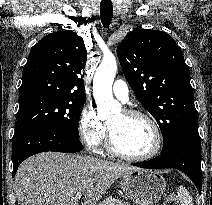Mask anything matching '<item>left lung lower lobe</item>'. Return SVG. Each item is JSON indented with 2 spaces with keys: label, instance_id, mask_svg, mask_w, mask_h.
<instances>
[{
  "label": "left lung lower lobe",
  "instance_id": "left-lung-lower-lobe-1",
  "mask_svg": "<svg viewBox=\"0 0 212 205\" xmlns=\"http://www.w3.org/2000/svg\"><path fill=\"white\" fill-rule=\"evenodd\" d=\"M146 169L176 168L193 181L201 193V143L197 126L186 130L166 152L149 161L132 164Z\"/></svg>",
  "mask_w": 212,
  "mask_h": 205
}]
</instances>
